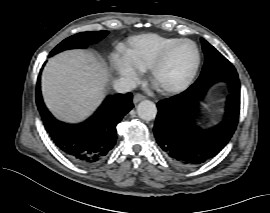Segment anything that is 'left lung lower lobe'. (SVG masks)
I'll use <instances>...</instances> for the list:
<instances>
[{"mask_svg": "<svg viewBox=\"0 0 270 213\" xmlns=\"http://www.w3.org/2000/svg\"><path fill=\"white\" fill-rule=\"evenodd\" d=\"M229 85L226 117L209 129L198 127L191 111L203 100L216 82ZM158 114L154 135L167 159L178 167L191 168L215 157L231 139L239 118L240 82L235 68L197 86H191L179 95L157 103Z\"/></svg>", "mask_w": 270, "mask_h": 213, "instance_id": "left-lung-lower-lobe-1", "label": "left lung lower lobe"}]
</instances>
